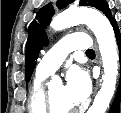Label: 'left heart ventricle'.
<instances>
[{
    "label": "left heart ventricle",
    "mask_w": 121,
    "mask_h": 113,
    "mask_svg": "<svg viewBox=\"0 0 121 113\" xmlns=\"http://www.w3.org/2000/svg\"><path fill=\"white\" fill-rule=\"evenodd\" d=\"M51 96L55 108L58 112H66L74 108V104L67 96L65 87L61 84L55 85L51 88Z\"/></svg>",
    "instance_id": "b2bd125f"
}]
</instances>
